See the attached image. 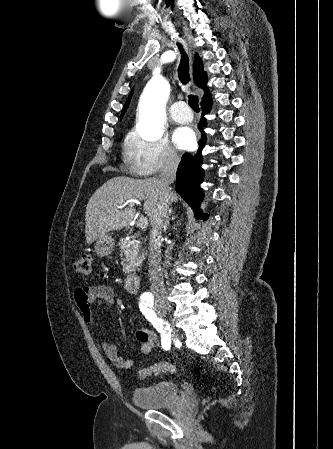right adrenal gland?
<instances>
[{
	"instance_id": "2a0ac1e0",
	"label": "right adrenal gland",
	"mask_w": 333,
	"mask_h": 449,
	"mask_svg": "<svg viewBox=\"0 0 333 449\" xmlns=\"http://www.w3.org/2000/svg\"><path fill=\"white\" fill-rule=\"evenodd\" d=\"M171 213H172V209L169 210V212H168V214H167V216H166V220H165V223H164V230H167V228H168V226H169L170 220H171V219H172V220L175 219V217H172V218L170 219Z\"/></svg>"
}]
</instances>
